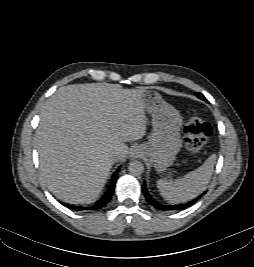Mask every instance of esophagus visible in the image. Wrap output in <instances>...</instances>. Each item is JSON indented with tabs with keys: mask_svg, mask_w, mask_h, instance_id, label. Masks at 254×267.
I'll list each match as a JSON object with an SVG mask.
<instances>
[{
	"mask_svg": "<svg viewBox=\"0 0 254 267\" xmlns=\"http://www.w3.org/2000/svg\"><path fill=\"white\" fill-rule=\"evenodd\" d=\"M141 156H142V150L140 147L136 146V147L131 148L130 157L132 159H137V158H140Z\"/></svg>",
	"mask_w": 254,
	"mask_h": 267,
	"instance_id": "obj_1",
	"label": "esophagus"
}]
</instances>
